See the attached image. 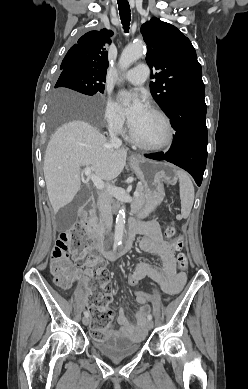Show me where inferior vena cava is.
Returning a JSON list of instances; mask_svg holds the SVG:
<instances>
[{
    "label": "inferior vena cava",
    "mask_w": 248,
    "mask_h": 389,
    "mask_svg": "<svg viewBox=\"0 0 248 389\" xmlns=\"http://www.w3.org/2000/svg\"><path fill=\"white\" fill-rule=\"evenodd\" d=\"M109 142L112 146L119 147L122 145V141L117 136V131L114 126L109 127ZM98 207L100 216L105 224L107 233H110L112 227V212H111V199L107 192H102L98 198Z\"/></svg>",
    "instance_id": "obj_1"
}]
</instances>
